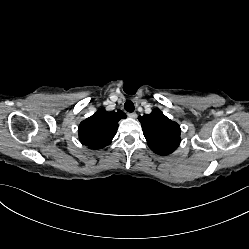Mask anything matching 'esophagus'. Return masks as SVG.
<instances>
[{
    "label": "esophagus",
    "instance_id": "esophagus-1",
    "mask_svg": "<svg viewBox=\"0 0 249 249\" xmlns=\"http://www.w3.org/2000/svg\"><path fill=\"white\" fill-rule=\"evenodd\" d=\"M128 116L130 118H133V119L137 118V114L136 113H128Z\"/></svg>",
    "mask_w": 249,
    "mask_h": 249
}]
</instances>
